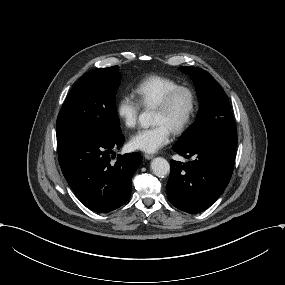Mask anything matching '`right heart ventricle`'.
I'll return each mask as SVG.
<instances>
[{"label": "right heart ventricle", "instance_id": "right-heart-ventricle-1", "mask_svg": "<svg viewBox=\"0 0 285 285\" xmlns=\"http://www.w3.org/2000/svg\"><path fill=\"white\" fill-rule=\"evenodd\" d=\"M179 82L171 77L152 75L140 81L134 89L136 98L144 108H153Z\"/></svg>", "mask_w": 285, "mask_h": 285}]
</instances>
